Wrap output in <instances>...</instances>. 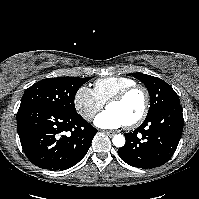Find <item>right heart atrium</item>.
Returning a JSON list of instances; mask_svg holds the SVG:
<instances>
[{
	"instance_id": "d8ad5b80",
	"label": "right heart atrium",
	"mask_w": 199,
	"mask_h": 199,
	"mask_svg": "<svg viewBox=\"0 0 199 199\" xmlns=\"http://www.w3.org/2000/svg\"><path fill=\"white\" fill-rule=\"evenodd\" d=\"M74 105L78 113L86 121H92L104 107V104L98 99L94 91L86 85L79 87L76 91Z\"/></svg>"
}]
</instances>
